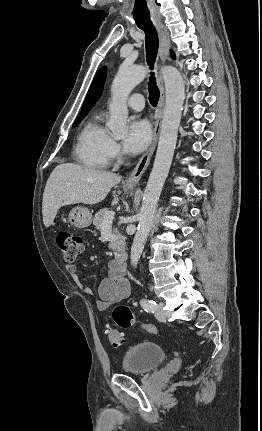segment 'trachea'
<instances>
[{"mask_svg": "<svg viewBox=\"0 0 262 431\" xmlns=\"http://www.w3.org/2000/svg\"><path fill=\"white\" fill-rule=\"evenodd\" d=\"M135 9L138 14H145L148 12V7L145 0H135ZM145 33V44H146V58L147 63L151 70L154 68L158 53V34L154 26H138ZM149 80V102L152 106H156L159 100V88L156 84V78L154 72L150 73Z\"/></svg>", "mask_w": 262, "mask_h": 431, "instance_id": "1", "label": "trachea"}]
</instances>
